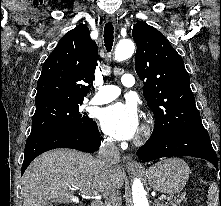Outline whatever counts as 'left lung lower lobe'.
I'll use <instances>...</instances> for the list:
<instances>
[{
    "instance_id": "0a47b994",
    "label": "left lung lower lobe",
    "mask_w": 221,
    "mask_h": 206,
    "mask_svg": "<svg viewBox=\"0 0 221 206\" xmlns=\"http://www.w3.org/2000/svg\"><path fill=\"white\" fill-rule=\"evenodd\" d=\"M137 156L144 162L162 157L192 156L206 159L218 169L217 156L211 145L207 131L180 132L161 137H150V139L139 148Z\"/></svg>"
}]
</instances>
